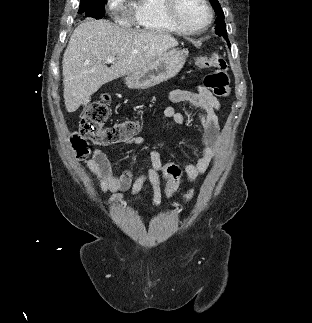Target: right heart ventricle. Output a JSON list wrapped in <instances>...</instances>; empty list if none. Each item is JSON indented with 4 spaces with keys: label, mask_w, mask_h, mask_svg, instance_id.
Here are the masks:
<instances>
[{
    "label": "right heart ventricle",
    "mask_w": 312,
    "mask_h": 323,
    "mask_svg": "<svg viewBox=\"0 0 312 323\" xmlns=\"http://www.w3.org/2000/svg\"><path fill=\"white\" fill-rule=\"evenodd\" d=\"M141 5H133L130 17L135 29H181V22H174L167 13L166 1L140 0Z\"/></svg>",
    "instance_id": "obj_1"
}]
</instances>
